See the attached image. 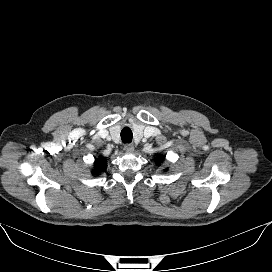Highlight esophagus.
<instances>
[{
    "label": "esophagus",
    "instance_id": "obj_1",
    "mask_svg": "<svg viewBox=\"0 0 272 272\" xmlns=\"http://www.w3.org/2000/svg\"><path fill=\"white\" fill-rule=\"evenodd\" d=\"M124 150H125L126 152H128V153H131V152L134 151V145H133V144H126V145L124 146Z\"/></svg>",
    "mask_w": 272,
    "mask_h": 272
}]
</instances>
